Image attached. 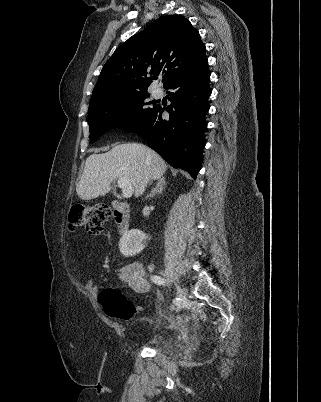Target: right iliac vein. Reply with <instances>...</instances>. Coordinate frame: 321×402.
I'll return each instance as SVG.
<instances>
[{
	"label": "right iliac vein",
	"instance_id": "right-iliac-vein-1",
	"mask_svg": "<svg viewBox=\"0 0 321 402\" xmlns=\"http://www.w3.org/2000/svg\"><path fill=\"white\" fill-rule=\"evenodd\" d=\"M176 289H177V296L180 299L179 302L176 304V311H180L185 305L186 295L184 290L180 286H177Z\"/></svg>",
	"mask_w": 321,
	"mask_h": 402
}]
</instances>
